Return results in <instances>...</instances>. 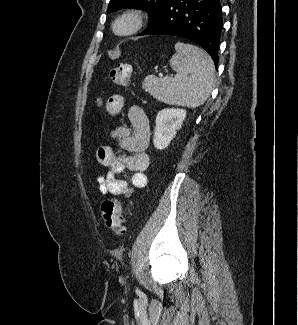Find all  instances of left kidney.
<instances>
[{"instance_id": "5707ae66", "label": "left kidney", "mask_w": 298, "mask_h": 325, "mask_svg": "<svg viewBox=\"0 0 298 325\" xmlns=\"http://www.w3.org/2000/svg\"><path fill=\"white\" fill-rule=\"evenodd\" d=\"M186 114L185 108H162L157 112L153 138L155 148H166L170 144Z\"/></svg>"}]
</instances>
